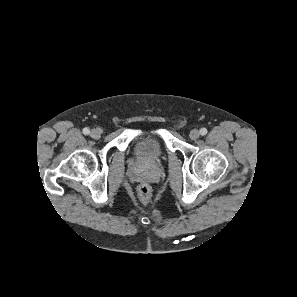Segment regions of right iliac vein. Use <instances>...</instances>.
I'll list each match as a JSON object with an SVG mask.
<instances>
[{
    "instance_id": "1",
    "label": "right iliac vein",
    "mask_w": 297,
    "mask_h": 297,
    "mask_svg": "<svg viewBox=\"0 0 297 297\" xmlns=\"http://www.w3.org/2000/svg\"><path fill=\"white\" fill-rule=\"evenodd\" d=\"M90 136H91L93 139H99L100 136H101V131H100V129H92L91 132H90Z\"/></svg>"
}]
</instances>
